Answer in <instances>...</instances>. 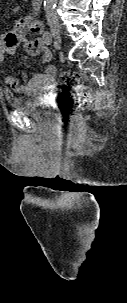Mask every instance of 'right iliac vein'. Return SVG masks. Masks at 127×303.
<instances>
[{
  "label": "right iliac vein",
  "instance_id": "obj_1",
  "mask_svg": "<svg viewBox=\"0 0 127 303\" xmlns=\"http://www.w3.org/2000/svg\"><path fill=\"white\" fill-rule=\"evenodd\" d=\"M51 33L53 37L57 40V42L61 43V30H60V25L57 20H49L48 22Z\"/></svg>",
  "mask_w": 127,
  "mask_h": 303
}]
</instances>
